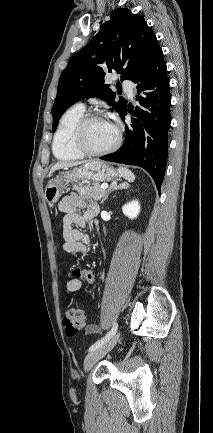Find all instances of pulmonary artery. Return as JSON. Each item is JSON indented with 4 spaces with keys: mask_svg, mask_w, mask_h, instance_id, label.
<instances>
[{
    "mask_svg": "<svg viewBox=\"0 0 213 433\" xmlns=\"http://www.w3.org/2000/svg\"><path fill=\"white\" fill-rule=\"evenodd\" d=\"M123 88L125 90V92L127 93V95L132 98L133 97V91H134V85L131 81L129 80H125L123 81ZM78 106L83 107V104H78Z\"/></svg>",
    "mask_w": 213,
    "mask_h": 433,
    "instance_id": "obj_1",
    "label": "pulmonary artery"
}]
</instances>
